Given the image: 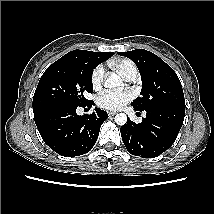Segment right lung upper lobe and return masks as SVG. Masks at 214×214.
<instances>
[{
	"instance_id": "obj_1",
	"label": "right lung upper lobe",
	"mask_w": 214,
	"mask_h": 214,
	"mask_svg": "<svg viewBox=\"0 0 214 214\" xmlns=\"http://www.w3.org/2000/svg\"><path fill=\"white\" fill-rule=\"evenodd\" d=\"M114 53L113 52H91L87 50H73L62 58L69 59V58H76V59H83L89 61L96 66L102 63L103 61L107 60L111 57Z\"/></svg>"
}]
</instances>
